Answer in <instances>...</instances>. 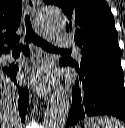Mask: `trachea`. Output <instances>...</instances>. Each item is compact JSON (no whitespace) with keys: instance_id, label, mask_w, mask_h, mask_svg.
<instances>
[{"instance_id":"3493384b","label":"trachea","mask_w":125,"mask_h":128,"mask_svg":"<svg viewBox=\"0 0 125 128\" xmlns=\"http://www.w3.org/2000/svg\"><path fill=\"white\" fill-rule=\"evenodd\" d=\"M25 26H26V36L24 40L26 43L33 42L34 44H36L37 46H40L42 49L46 51H69V50L56 48L53 45L49 44L47 41L40 38L38 35H36L32 28L29 15L25 16ZM22 49H23V46L16 47L14 49V52H20Z\"/></svg>"}]
</instances>
